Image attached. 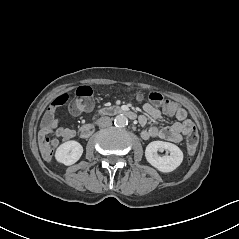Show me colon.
<instances>
[{
	"label": "colon",
	"mask_w": 239,
	"mask_h": 239,
	"mask_svg": "<svg viewBox=\"0 0 239 239\" xmlns=\"http://www.w3.org/2000/svg\"><path fill=\"white\" fill-rule=\"evenodd\" d=\"M75 99L70 104V111L74 114L89 110L93 105V91L89 86H80L77 88L75 93ZM139 98H143L142 94H138ZM147 98L156 106L161 107L165 113L173 114L177 107L176 104L170 100L165 99L159 93H150ZM68 100V96L66 94H62L55 98L50 107L48 108L47 112L43 117V125H49L53 120L55 113L59 107L64 105ZM198 133L194 129L192 130L187 137V153L189 157H192L198 145Z\"/></svg>",
	"instance_id": "5ec220e1"
}]
</instances>
